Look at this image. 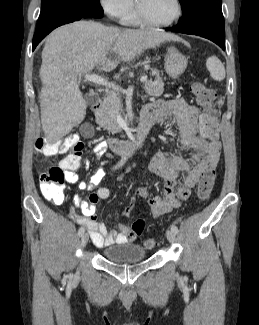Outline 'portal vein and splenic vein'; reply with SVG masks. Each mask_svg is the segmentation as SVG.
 <instances>
[{"label":"portal vein and splenic vein","instance_id":"1","mask_svg":"<svg viewBox=\"0 0 259 325\" xmlns=\"http://www.w3.org/2000/svg\"><path fill=\"white\" fill-rule=\"evenodd\" d=\"M84 78L90 82L99 84V85H104V86H108L110 88H113L114 90L118 91L119 87L105 79H103L102 77L96 75L95 73L93 74H85ZM147 80V75H144L141 77L140 81L141 82H145Z\"/></svg>","mask_w":259,"mask_h":325}]
</instances>
